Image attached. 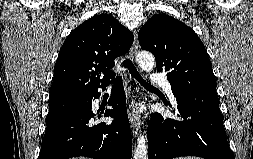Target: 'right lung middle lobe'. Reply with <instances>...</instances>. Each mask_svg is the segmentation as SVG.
<instances>
[{
	"label": "right lung middle lobe",
	"mask_w": 253,
	"mask_h": 159,
	"mask_svg": "<svg viewBox=\"0 0 253 159\" xmlns=\"http://www.w3.org/2000/svg\"><path fill=\"white\" fill-rule=\"evenodd\" d=\"M90 95L49 101V115L46 122L53 120L65 111L83 103L89 99Z\"/></svg>",
	"instance_id": "right-lung-middle-lobe-1"
}]
</instances>
